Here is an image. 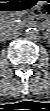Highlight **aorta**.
<instances>
[{"label":"aorta","instance_id":"obj_1","mask_svg":"<svg viewBox=\"0 0 50 111\" xmlns=\"http://www.w3.org/2000/svg\"><path fill=\"white\" fill-rule=\"evenodd\" d=\"M25 37L30 40H34L38 37V30L36 28H28L25 31Z\"/></svg>","mask_w":50,"mask_h":111}]
</instances>
